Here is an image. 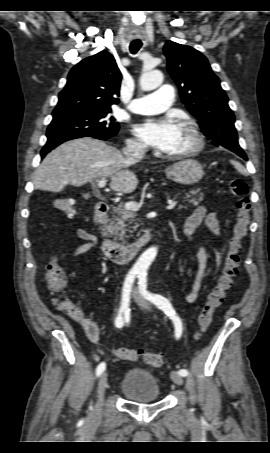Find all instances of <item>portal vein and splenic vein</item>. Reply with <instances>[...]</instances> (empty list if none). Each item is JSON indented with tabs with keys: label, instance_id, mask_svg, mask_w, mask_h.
I'll return each instance as SVG.
<instances>
[{
	"label": "portal vein and splenic vein",
	"instance_id": "1",
	"mask_svg": "<svg viewBox=\"0 0 270 453\" xmlns=\"http://www.w3.org/2000/svg\"><path fill=\"white\" fill-rule=\"evenodd\" d=\"M107 180L105 178L97 180V186L99 188H104L106 186ZM177 205V201H170L169 205L167 206V209H173ZM141 205L136 203V202H127L125 204V208L130 211H138L140 209Z\"/></svg>",
	"mask_w": 270,
	"mask_h": 453
}]
</instances>
